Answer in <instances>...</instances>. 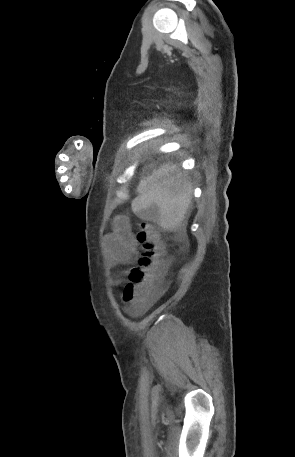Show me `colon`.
Here are the masks:
<instances>
[{"label": "colon", "mask_w": 295, "mask_h": 457, "mask_svg": "<svg viewBox=\"0 0 295 457\" xmlns=\"http://www.w3.org/2000/svg\"><path fill=\"white\" fill-rule=\"evenodd\" d=\"M136 237L142 245V254L137 266L129 270L128 283L123 291V301L134 311L145 304L165 266L164 243L157 228L150 222L142 221Z\"/></svg>", "instance_id": "5ec220e1"}]
</instances>
